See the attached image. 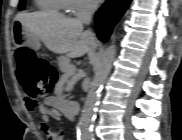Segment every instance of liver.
<instances>
[{
	"label": "liver",
	"instance_id": "obj_1",
	"mask_svg": "<svg viewBox=\"0 0 182 140\" xmlns=\"http://www.w3.org/2000/svg\"><path fill=\"white\" fill-rule=\"evenodd\" d=\"M25 31L38 37L56 54L81 57L97 46L95 35L83 31V24L75 18L56 12L20 13L16 17Z\"/></svg>",
	"mask_w": 182,
	"mask_h": 140
}]
</instances>
